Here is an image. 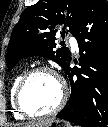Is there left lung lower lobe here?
Returning a JSON list of instances; mask_svg holds the SVG:
<instances>
[{
    "label": "left lung lower lobe",
    "instance_id": "1",
    "mask_svg": "<svg viewBox=\"0 0 108 127\" xmlns=\"http://www.w3.org/2000/svg\"><path fill=\"white\" fill-rule=\"evenodd\" d=\"M73 35L81 54L80 67L67 64L71 96L56 116L81 127H108V3L86 0ZM92 64L100 67L97 88L89 77Z\"/></svg>",
    "mask_w": 108,
    "mask_h": 127
}]
</instances>
